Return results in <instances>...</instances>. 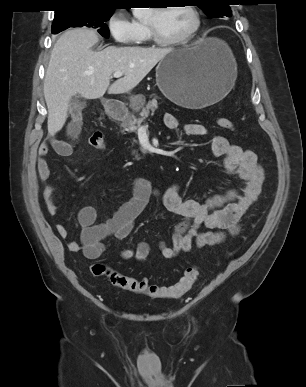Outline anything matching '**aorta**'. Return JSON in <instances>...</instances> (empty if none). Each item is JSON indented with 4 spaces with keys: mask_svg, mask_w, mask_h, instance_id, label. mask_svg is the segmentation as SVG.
<instances>
[{
    "mask_svg": "<svg viewBox=\"0 0 306 387\" xmlns=\"http://www.w3.org/2000/svg\"><path fill=\"white\" fill-rule=\"evenodd\" d=\"M134 17L140 19L148 14V8H132Z\"/></svg>",
    "mask_w": 306,
    "mask_h": 387,
    "instance_id": "obj_1",
    "label": "aorta"
}]
</instances>
